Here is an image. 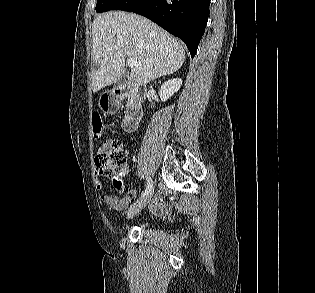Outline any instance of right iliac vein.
I'll return each instance as SVG.
<instances>
[{
	"mask_svg": "<svg viewBox=\"0 0 315 293\" xmlns=\"http://www.w3.org/2000/svg\"><path fill=\"white\" fill-rule=\"evenodd\" d=\"M152 195L153 192L150 191L147 195L134 203L127 212V218H132L133 216L138 214L144 207H146V205L150 202Z\"/></svg>",
	"mask_w": 315,
	"mask_h": 293,
	"instance_id": "1",
	"label": "right iliac vein"
}]
</instances>
